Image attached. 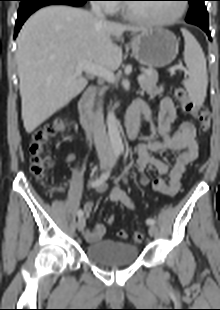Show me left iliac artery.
Returning <instances> with one entry per match:
<instances>
[{
  "label": "left iliac artery",
  "instance_id": "obj_1",
  "mask_svg": "<svg viewBox=\"0 0 220 310\" xmlns=\"http://www.w3.org/2000/svg\"><path fill=\"white\" fill-rule=\"evenodd\" d=\"M121 152H123V148H121ZM146 223H147L148 225H153V224H155V220H154L153 218H148V219L146 220Z\"/></svg>",
  "mask_w": 220,
  "mask_h": 310
}]
</instances>
